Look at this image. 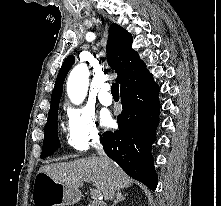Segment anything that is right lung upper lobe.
<instances>
[{
  "label": "right lung upper lobe",
  "mask_w": 221,
  "mask_h": 206,
  "mask_svg": "<svg viewBox=\"0 0 221 206\" xmlns=\"http://www.w3.org/2000/svg\"><path fill=\"white\" fill-rule=\"evenodd\" d=\"M132 41V35L124 28L117 24H112L110 26L106 47L107 61L112 69L118 74L116 81L121 86L146 67L144 62L140 60L138 53L132 48ZM74 61L75 59L73 56H68L60 68L51 95V108L49 113L59 106L63 91V83Z\"/></svg>",
  "instance_id": "1"
}]
</instances>
